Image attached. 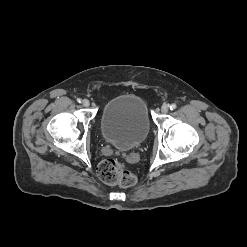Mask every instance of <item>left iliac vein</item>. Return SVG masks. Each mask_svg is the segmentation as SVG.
I'll return each mask as SVG.
<instances>
[{
    "label": "left iliac vein",
    "instance_id": "1",
    "mask_svg": "<svg viewBox=\"0 0 247 247\" xmlns=\"http://www.w3.org/2000/svg\"><path fill=\"white\" fill-rule=\"evenodd\" d=\"M169 110V106L167 104H163L161 107V112L162 113H167Z\"/></svg>",
    "mask_w": 247,
    "mask_h": 247
}]
</instances>
